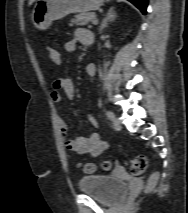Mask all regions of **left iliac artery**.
Masks as SVG:
<instances>
[{
    "label": "left iliac artery",
    "mask_w": 188,
    "mask_h": 213,
    "mask_svg": "<svg viewBox=\"0 0 188 213\" xmlns=\"http://www.w3.org/2000/svg\"><path fill=\"white\" fill-rule=\"evenodd\" d=\"M106 114H107V117H108L109 120H113L115 118L114 113L112 111H110V110H108L106 112Z\"/></svg>",
    "instance_id": "1"
}]
</instances>
